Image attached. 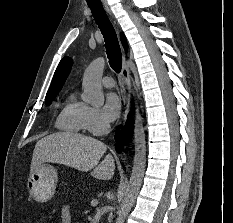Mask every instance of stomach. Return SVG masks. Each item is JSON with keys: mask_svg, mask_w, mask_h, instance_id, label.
<instances>
[{"mask_svg": "<svg viewBox=\"0 0 233 223\" xmlns=\"http://www.w3.org/2000/svg\"><path fill=\"white\" fill-rule=\"evenodd\" d=\"M58 173L56 167L50 163H39L37 169L31 171L28 181L27 189L30 197L45 203L54 197L57 191Z\"/></svg>", "mask_w": 233, "mask_h": 223, "instance_id": "obj_1", "label": "stomach"}]
</instances>
